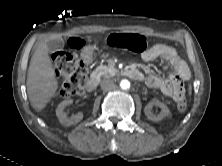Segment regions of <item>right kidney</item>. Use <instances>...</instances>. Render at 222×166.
<instances>
[{
    "label": "right kidney",
    "mask_w": 222,
    "mask_h": 166,
    "mask_svg": "<svg viewBox=\"0 0 222 166\" xmlns=\"http://www.w3.org/2000/svg\"><path fill=\"white\" fill-rule=\"evenodd\" d=\"M72 103H73V100L71 99L64 100L58 105L56 109V116L58 117L59 121L65 126H71V125L77 124L83 119V114L80 112L77 113L76 115H72L71 117H68L64 113V109L67 106L71 105Z\"/></svg>",
    "instance_id": "1"
}]
</instances>
